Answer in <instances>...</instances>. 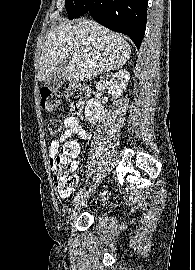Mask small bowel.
Wrapping results in <instances>:
<instances>
[{"instance_id":"c3829d8e","label":"small bowel","mask_w":195,"mask_h":270,"mask_svg":"<svg viewBox=\"0 0 195 270\" xmlns=\"http://www.w3.org/2000/svg\"><path fill=\"white\" fill-rule=\"evenodd\" d=\"M65 130L58 139L53 140L49 146L50 166L53 170L54 160L58 154L60 144L66 141L70 136L77 135L80 139L86 140L90 137V132L81 124L80 120L75 116H68L64 119ZM78 164L73 163V168L77 169ZM72 194V190L63 198H67Z\"/></svg>"}]
</instances>
